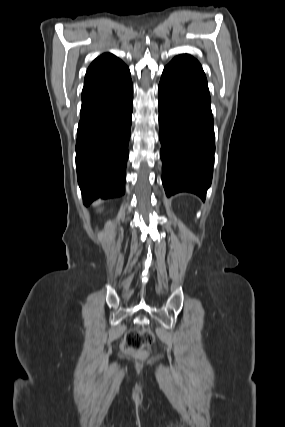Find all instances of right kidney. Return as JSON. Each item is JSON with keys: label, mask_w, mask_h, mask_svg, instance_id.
I'll list each match as a JSON object with an SVG mask.
<instances>
[{"label": "right kidney", "mask_w": 285, "mask_h": 427, "mask_svg": "<svg viewBox=\"0 0 285 427\" xmlns=\"http://www.w3.org/2000/svg\"><path fill=\"white\" fill-rule=\"evenodd\" d=\"M109 225H111V222H108V223H107V226H109Z\"/></svg>", "instance_id": "obj_1"}]
</instances>
